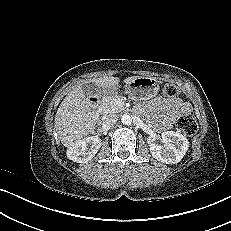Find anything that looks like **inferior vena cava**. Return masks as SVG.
Segmentation results:
<instances>
[{"label": "inferior vena cava", "mask_w": 231, "mask_h": 231, "mask_svg": "<svg viewBox=\"0 0 231 231\" xmlns=\"http://www.w3.org/2000/svg\"><path fill=\"white\" fill-rule=\"evenodd\" d=\"M118 116L115 114H108L103 117L102 125L105 129H108L116 124Z\"/></svg>", "instance_id": "inferior-vena-cava-1"}]
</instances>
